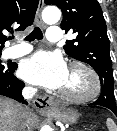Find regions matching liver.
Listing matches in <instances>:
<instances>
[{"mask_svg": "<svg viewBox=\"0 0 117 131\" xmlns=\"http://www.w3.org/2000/svg\"><path fill=\"white\" fill-rule=\"evenodd\" d=\"M21 105L0 97V131H17L21 120ZM33 117H31V120Z\"/></svg>", "mask_w": 117, "mask_h": 131, "instance_id": "liver-1", "label": "liver"}]
</instances>
